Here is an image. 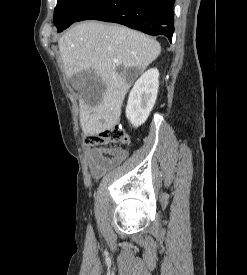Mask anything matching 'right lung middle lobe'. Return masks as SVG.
<instances>
[{
	"label": "right lung middle lobe",
	"mask_w": 247,
	"mask_h": 275,
	"mask_svg": "<svg viewBox=\"0 0 247 275\" xmlns=\"http://www.w3.org/2000/svg\"><path fill=\"white\" fill-rule=\"evenodd\" d=\"M98 0H57L54 10V23L58 32L68 28L78 17Z\"/></svg>",
	"instance_id": "obj_1"
}]
</instances>
